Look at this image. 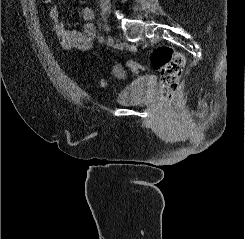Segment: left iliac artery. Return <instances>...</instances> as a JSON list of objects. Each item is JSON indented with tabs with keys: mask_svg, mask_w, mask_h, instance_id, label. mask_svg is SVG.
Listing matches in <instances>:
<instances>
[{
	"mask_svg": "<svg viewBox=\"0 0 245 239\" xmlns=\"http://www.w3.org/2000/svg\"><path fill=\"white\" fill-rule=\"evenodd\" d=\"M99 42H100V43H103V42H104V36H103V35H100V36H99Z\"/></svg>",
	"mask_w": 245,
	"mask_h": 239,
	"instance_id": "obj_1",
	"label": "left iliac artery"
}]
</instances>
